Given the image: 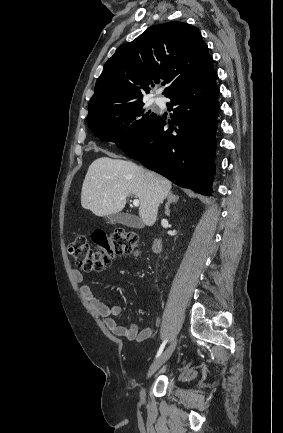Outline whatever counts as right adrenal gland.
<instances>
[{
	"label": "right adrenal gland",
	"instance_id": "1",
	"mask_svg": "<svg viewBox=\"0 0 283 433\" xmlns=\"http://www.w3.org/2000/svg\"><path fill=\"white\" fill-rule=\"evenodd\" d=\"M178 198H179L178 194H173V190H170V192H168V200L165 204V212H164V214H166V217H170V208H169L170 202H177Z\"/></svg>",
	"mask_w": 283,
	"mask_h": 433
}]
</instances>
